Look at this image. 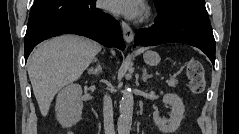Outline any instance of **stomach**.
<instances>
[{
	"instance_id": "obj_1",
	"label": "stomach",
	"mask_w": 239,
	"mask_h": 134,
	"mask_svg": "<svg viewBox=\"0 0 239 134\" xmlns=\"http://www.w3.org/2000/svg\"><path fill=\"white\" fill-rule=\"evenodd\" d=\"M146 64L155 66L160 62V56L154 51H146L143 55Z\"/></svg>"
}]
</instances>
